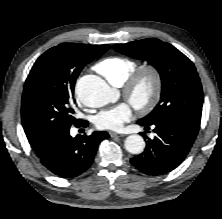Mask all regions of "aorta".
<instances>
[{"mask_svg":"<svg viewBox=\"0 0 222 219\" xmlns=\"http://www.w3.org/2000/svg\"><path fill=\"white\" fill-rule=\"evenodd\" d=\"M76 95L86 106L92 108L102 107L112 99V90L109 85L96 75L81 77L76 84ZM125 148L131 154L142 153L145 142L142 136L134 134L125 140Z\"/></svg>","mask_w":222,"mask_h":219,"instance_id":"1","label":"aorta"}]
</instances>
